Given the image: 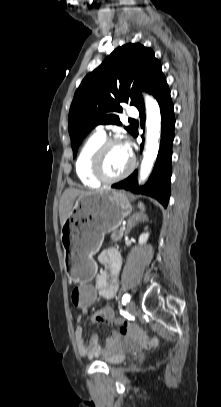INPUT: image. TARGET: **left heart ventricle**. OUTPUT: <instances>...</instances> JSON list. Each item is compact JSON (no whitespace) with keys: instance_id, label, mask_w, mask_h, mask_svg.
I'll return each instance as SVG.
<instances>
[{"instance_id":"1","label":"left heart ventricle","mask_w":221,"mask_h":407,"mask_svg":"<svg viewBox=\"0 0 221 407\" xmlns=\"http://www.w3.org/2000/svg\"><path fill=\"white\" fill-rule=\"evenodd\" d=\"M130 163V154L123 144L111 145L103 158V171L107 176L113 177L123 173Z\"/></svg>"}]
</instances>
